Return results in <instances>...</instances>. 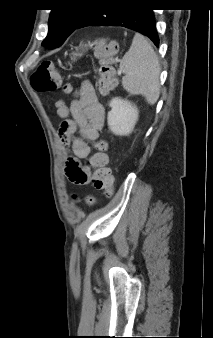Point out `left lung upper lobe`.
I'll list each match as a JSON object with an SVG mask.
<instances>
[{
	"instance_id": "left-lung-upper-lobe-1",
	"label": "left lung upper lobe",
	"mask_w": 213,
	"mask_h": 338,
	"mask_svg": "<svg viewBox=\"0 0 213 338\" xmlns=\"http://www.w3.org/2000/svg\"><path fill=\"white\" fill-rule=\"evenodd\" d=\"M108 0H54L55 8L49 17V31L42 45L48 48L60 47L77 28L83 18L98 4Z\"/></svg>"
}]
</instances>
